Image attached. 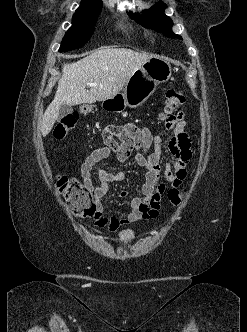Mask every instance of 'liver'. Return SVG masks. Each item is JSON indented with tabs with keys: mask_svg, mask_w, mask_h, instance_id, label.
Instances as JSON below:
<instances>
[{
	"mask_svg": "<svg viewBox=\"0 0 247 332\" xmlns=\"http://www.w3.org/2000/svg\"><path fill=\"white\" fill-rule=\"evenodd\" d=\"M153 57L126 48H103L77 62L64 64L55 97L41 121L42 136H47L52 130L62 104H92L113 98L131 75ZM89 82L97 83V86L86 90Z\"/></svg>",
	"mask_w": 247,
	"mask_h": 332,
	"instance_id": "obj_1",
	"label": "liver"
}]
</instances>
